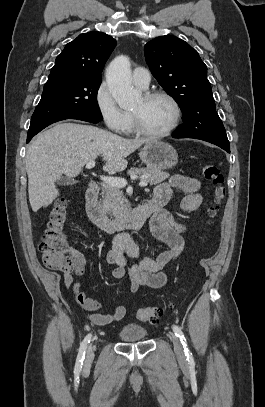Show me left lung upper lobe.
Instances as JSON below:
<instances>
[{
  "instance_id": "obj_1",
  "label": "left lung upper lobe",
  "mask_w": 265,
  "mask_h": 407,
  "mask_svg": "<svg viewBox=\"0 0 265 407\" xmlns=\"http://www.w3.org/2000/svg\"><path fill=\"white\" fill-rule=\"evenodd\" d=\"M144 53L153 76L181 108L184 123L173 135L229 146L216 112L207 67L197 51L185 41L165 35L148 42Z\"/></svg>"
}]
</instances>
